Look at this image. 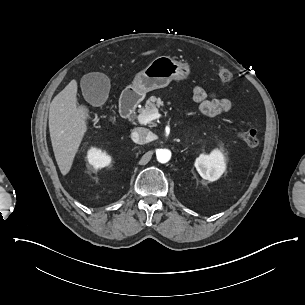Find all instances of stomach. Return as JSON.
<instances>
[{
  "mask_svg": "<svg viewBox=\"0 0 305 305\" xmlns=\"http://www.w3.org/2000/svg\"><path fill=\"white\" fill-rule=\"evenodd\" d=\"M190 74L191 67L188 63L177 61L170 56H159L137 73L133 83L124 91L130 92L129 101L134 99V104H138L147 92L167 87L172 80L186 81Z\"/></svg>",
  "mask_w": 305,
  "mask_h": 305,
  "instance_id": "obj_1",
  "label": "stomach"
}]
</instances>
